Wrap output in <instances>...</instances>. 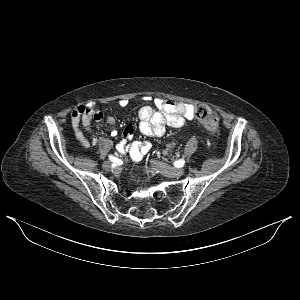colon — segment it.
I'll use <instances>...</instances> for the list:
<instances>
[{
	"label": "colon",
	"mask_w": 300,
	"mask_h": 300,
	"mask_svg": "<svg viewBox=\"0 0 300 300\" xmlns=\"http://www.w3.org/2000/svg\"><path fill=\"white\" fill-rule=\"evenodd\" d=\"M196 119L206 129L210 131H216L220 121V115L218 112L210 109L204 104H198L194 110Z\"/></svg>",
	"instance_id": "1"
}]
</instances>
